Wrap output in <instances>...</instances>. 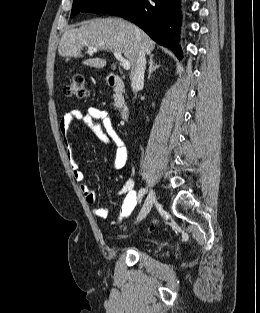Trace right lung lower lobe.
I'll return each instance as SVG.
<instances>
[{
  "mask_svg": "<svg viewBox=\"0 0 260 313\" xmlns=\"http://www.w3.org/2000/svg\"><path fill=\"white\" fill-rule=\"evenodd\" d=\"M109 13L135 23L154 41L181 58L182 51L178 47L182 19L180 0H127Z\"/></svg>",
  "mask_w": 260,
  "mask_h": 313,
  "instance_id": "98d812e1",
  "label": "right lung lower lobe"
}]
</instances>
